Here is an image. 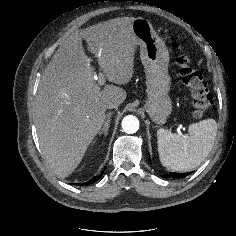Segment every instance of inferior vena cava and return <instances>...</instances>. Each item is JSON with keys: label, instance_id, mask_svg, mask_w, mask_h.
<instances>
[{"label": "inferior vena cava", "instance_id": "inferior-vena-cava-1", "mask_svg": "<svg viewBox=\"0 0 236 236\" xmlns=\"http://www.w3.org/2000/svg\"><path fill=\"white\" fill-rule=\"evenodd\" d=\"M117 107H118V105L116 103H108L106 105L107 109H113V108H117Z\"/></svg>", "mask_w": 236, "mask_h": 236}]
</instances>
